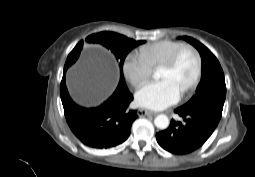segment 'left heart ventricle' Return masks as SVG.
<instances>
[{"mask_svg": "<svg viewBox=\"0 0 255 177\" xmlns=\"http://www.w3.org/2000/svg\"><path fill=\"white\" fill-rule=\"evenodd\" d=\"M197 61L195 55L186 51L173 69L161 67L158 71L159 78L171 81L182 92L192 82L196 73Z\"/></svg>", "mask_w": 255, "mask_h": 177, "instance_id": "1", "label": "left heart ventricle"}]
</instances>
